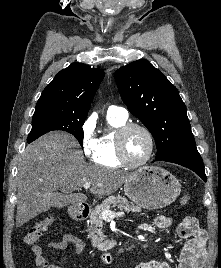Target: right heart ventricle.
<instances>
[{"label":"right heart ventricle","instance_id":"e07e8e85","mask_svg":"<svg viewBox=\"0 0 221 268\" xmlns=\"http://www.w3.org/2000/svg\"><path fill=\"white\" fill-rule=\"evenodd\" d=\"M112 131L104 133L97 141V149L93 161L107 168H120L123 165L117 158L115 135L116 131L126 123V120L108 117Z\"/></svg>","mask_w":221,"mask_h":268}]
</instances>
